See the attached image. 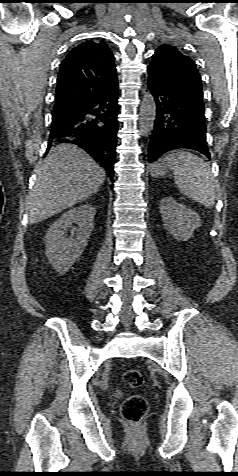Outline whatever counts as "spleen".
<instances>
[{"instance_id": "obj_1", "label": "spleen", "mask_w": 238, "mask_h": 476, "mask_svg": "<svg viewBox=\"0 0 238 476\" xmlns=\"http://www.w3.org/2000/svg\"><path fill=\"white\" fill-rule=\"evenodd\" d=\"M173 170L177 188L187 197L210 208L215 204L214 176L209 164L186 151H174L166 157Z\"/></svg>"}]
</instances>
